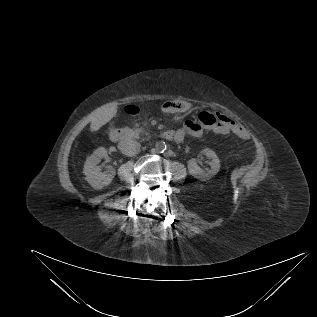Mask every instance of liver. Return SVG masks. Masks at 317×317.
Returning <instances> with one entry per match:
<instances>
[{
	"mask_svg": "<svg viewBox=\"0 0 317 317\" xmlns=\"http://www.w3.org/2000/svg\"><path fill=\"white\" fill-rule=\"evenodd\" d=\"M117 103H107L90 114V131H98L103 125L109 122L117 113Z\"/></svg>",
	"mask_w": 317,
	"mask_h": 317,
	"instance_id": "6515ba94",
	"label": "liver"
}]
</instances>
